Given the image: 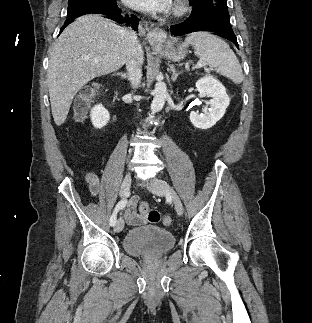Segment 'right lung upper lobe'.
<instances>
[{
  "label": "right lung upper lobe",
  "mask_w": 312,
  "mask_h": 323,
  "mask_svg": "<svg viewBox=\"0 0 312 323\" xmlns=\"http://www.w3.org/2000/svg\"><path fill=\"white\" fill-rule=\"evenodd\" d=\"M84 10H82V11H78V12H76V13H80V12H83Z\"/></svg>",
  "instance_id": "obj_1"
}]
</instances>
